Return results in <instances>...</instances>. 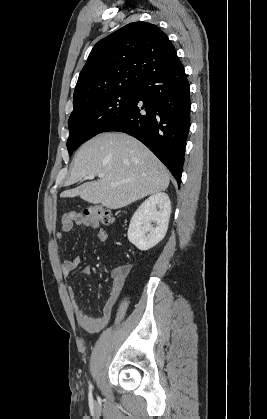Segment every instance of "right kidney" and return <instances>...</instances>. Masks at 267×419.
<instances>
[{"label":"right kidney","instance_id":"1","mask_svg":"<svg viewBox=\"0 0 267 419\" xmlns=\"http://www.w3.org/2000/svg\"><path fill=\"white\" fill-rule=\"evenodd\" d=\"M170 214L169 196L164 192L151 195L132 216L128 229L129 241L141 251L154 247L165 237ZM152 222L156 223L155 227Z\"/></svg>","mask_w":267,"mask_h":419}]
</instances>
